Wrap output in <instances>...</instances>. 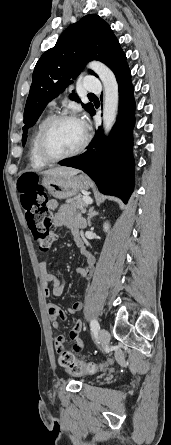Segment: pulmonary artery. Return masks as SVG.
<instances>
[{
    "label": "pulmonary artery",
    "instance_id": "1",
    "mask_svg": "<svg viewBox=\"0 0 171 445\" xmlns=\"http://www.w3.org/2000/svg\"><path fill=\"white\" fill-rule=\"evenodd\" d=\"M84 88L87 92H99L102 88L101 82L96 77H87L84 81ZM54 104V102H52Z\"/></svg>",
    "mask_w": 171,
    "mask_h": 445
}]
</instances>
